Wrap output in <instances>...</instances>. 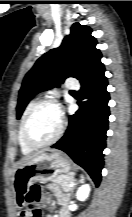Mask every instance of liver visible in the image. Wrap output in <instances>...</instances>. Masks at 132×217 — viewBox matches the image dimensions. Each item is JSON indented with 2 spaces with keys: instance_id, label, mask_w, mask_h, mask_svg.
I'll use <instances>...</instances> for the list:
<instances>
[{
  "instance_id": "obj_1",
  "label": "liver",
  "mask_w": 132,
  "mask_h": 217,
  "mask_svg": "<svg viewBox=\"0 0 132 217\" xmlns=\"http://www.w3.org/2000/svg\"><path fill=\"white\" fill-rule=\"evenodd\" d=\"M51 152H55V150H51ZM42 153H44V151L23 158V159L19 162V166L22 165V164H24L25 162H27V161L33 159L34 157H36V156L42 154Z\"/></svg>"
}]
</instances>
